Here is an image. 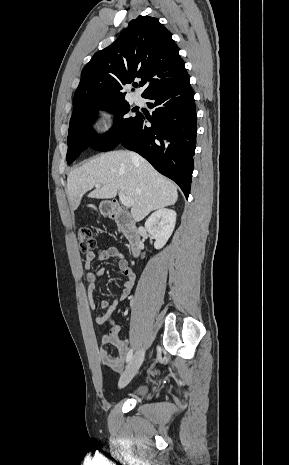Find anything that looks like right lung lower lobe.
Masks as SVG:
<instances>
[{
    "label": "right lung lower lobe",
    "instance_id": "98d812e1",
    "mask_svg": "<svg viewBox=\"0 0 289 465\" xmlns=\"http://www.w3.org/2000/svg\"><path fill=\"white\" fill-rule=\"evenodd\" d=\"M153 100L152 117L140 114L119 144L149 161L161 174L175 181L188 198L193 172L197 115L189 80L146 97ZM151 127L146 126V122Z\"/></svg>",
    "mask_w": 289,
    "mask_h": 465
}]
</instances>
